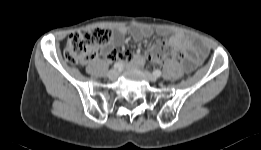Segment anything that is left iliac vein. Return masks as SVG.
I'll return each instance as SVG.
<instances>
[{
    "instance_id": "4c4485c4",
    "label": "left iliac vein",
    "mask_w": 261,
    "mask_h": 150,
    "mask_svg": "<svg viewBox=\"0 0 261 150\" xmlns=\"http://www.w3.org/2000/svg\"><path fill=\"white\" fill-rule=\"evenodd\" d=\"M145 76L147 77V79L151 82H156L157 81V77L154 74H151L148 71H145Z\"/></svg>"
}]
</instances>
